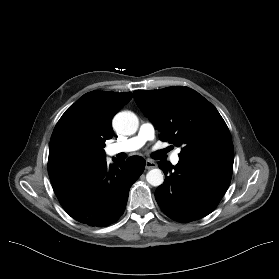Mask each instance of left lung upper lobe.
I'll return each instance as SVG.
<instances>
[{
  "label": "left lung upper lobe",
  "instance_id": "left-lung-upper-lobe-1",
  "mask_svg": "<svg viewBox=\"0 0 279 279\" xmlns=\"http://www.w3.org/2000/svg\"><path fill=\"white\" fill-rule=\"evenodd\" d=\"M140 110L161 132L160 139L177 147L180 157L234 160L229 129L217 109L188 87L136 90Z\"/></svg>",
  "mask_w": 279,
  "mask_h": 279
}]
</instances>
